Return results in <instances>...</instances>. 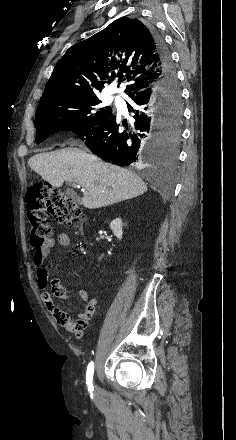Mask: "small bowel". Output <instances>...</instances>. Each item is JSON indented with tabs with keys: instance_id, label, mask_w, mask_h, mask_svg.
Here are the masks:
<instances>
[{
	"instance_id": "small-bowel-1",
	"label": "small bowel",
	"mask_w": 236,
	"mask_h": 440,
	"mask_svg": "<svg viewBox=\"0 0 236 440\" xmlns=\"http://www.w3.org/2000/svg\"><path fill=\"white\" fill-rule=\"evenodd\" d=\"M56 240L60 246H69L71 242L69 234L65 232L59 233ZM54 245L55 239L47 238L41 246L35 247L33 253L34 264L37 266V282L39 288L42 290L41 299L50 315L60 324L61 330H68L77 336H81L83 331L87 330V321L95 312L97 300L90 297L89 292L86 289L80 290L79 297L85 304V310L78 315V318L75 321H61L70 317L56 305L54 296L60 299H67V290L58 278H53L51 283H49L48 273L41 266Z\"/></svg>"
}]
</instances>
